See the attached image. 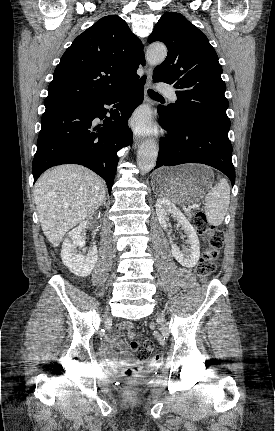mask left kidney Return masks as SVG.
<instances>
[{"mask_svg":"<svg viewBox=\"0 0 275 431\" xmlns=\"http://www.w3.org/2000/svg\"><path fill=\"white\" fill-rule=\"evenodd\" d=\"M155 206L159 223L161 227L167 231L169 236V243L172 248L173 256L182 266L187 268L194 267L200 257V244L195 229L184 216V214H182V212H180V210H178V208H176V206L168 199L158 198ZM170 215L183 227L188 238L187 243L190 246L189 249L185 248L181 250L176 246V244H174L172 238L170 237L171 230H167L169 221L168 217Z\"/></svg>","mask_w":275,"mask_h":431,"instance_id":"5707ae66","label":"left kidney"}]
</instances>
